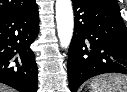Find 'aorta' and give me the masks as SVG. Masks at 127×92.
<instances>
[{
    "label": "aorta",
    "mask_w": 127,
    "mask_h": 92,
    "mask_svg": "<svg viewBox=\"0 0 127 92\" xmlns=\"http://www.w3.org/2000/svg\"><path fill=\"white\" fill-rule=\"evenodd\" d=\"M56 22L62 48H68L73 36L74 18L71 0H56Z\"/></svg>",
    "instance_id": "762f6f07"
}]
</instances>
